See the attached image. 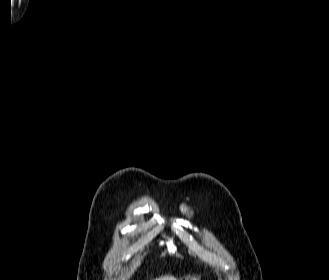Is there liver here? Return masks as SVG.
I'll return each mask as SVG.
<instances>
[{"instance_id":"1","label":"liver","mask_w":329,"mask_h":280,"mask_svg":"<svg viewBox=\"0 0 329 280\" xmlns=\"http://www.w3.org/2000/svg\"><path fill=\"white\" fill-rule=\"evenodd\" d=\"M154 280H177L176 277L172 276V275H164L161 276L159 278H156Z\"/></svg>"}]
</instances>
